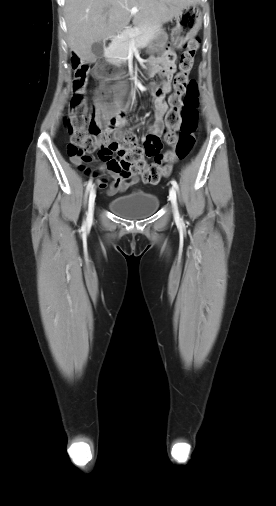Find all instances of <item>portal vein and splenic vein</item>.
Segmentation results:
<instances>
[{
	"label": "portal vein and splenic vein",
	"mask_w": 276,
	"mask_h": 506,
	"mask_svg": "<svg viewBox=\"0 0 276 506\" xmlns=\"http://www.w3.org/2000/svg\"><path fill=\"white\" fill-rule=\"evenodd\" d=\"M138 10H139V9H138L137 7H133V8L131 9V14H136V13L138 12Z\"/></svg>",
	"instance_id": "obj_1"
}]
</instances>
